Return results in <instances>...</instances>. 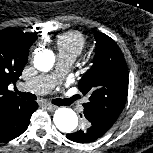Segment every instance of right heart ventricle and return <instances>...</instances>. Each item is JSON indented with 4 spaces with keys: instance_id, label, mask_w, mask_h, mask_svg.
<instances>
[{
    "instance_id": "1",
    "label": "right heart ventricle",
    "mask_w": 153,
    "mask_h": 153,
    "mask_svg": "<svg viewBox=\"0 0 153 153\" xmlns=\"http://www.w3.org/2000/svg\"><path fill=\"white\" fill-rule=\"evenodd\" d=\"M58 55L71 57L74 60L82 53L87 40L78 31H69L59 35L56 39Z\"/></svg>"
}]
</instances>
